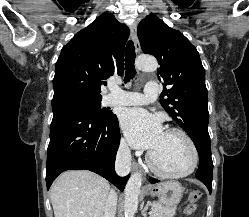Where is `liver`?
<instances>
[{
  "mask_svg": "<svg viewBox=\"0 0 249 217\" xmlns=\"http://www.w3.org/2000/svg\"><path fill=\"white\" fill-rule=\"evenodd\" d=\"M109 192L108 181L93 172H64L50 189L54 216L103 217Z\"/></svg>",
  "mask_w": 249,
  "mask_h": 217,
  "instance_id": "1",
  "label": "liver"
}]
</instances>
